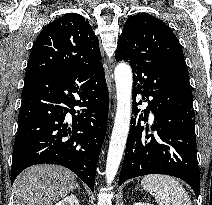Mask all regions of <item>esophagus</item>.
Returning <instances> with one entry per match:
<instances>
[{
  "label": "esophagus",
  "mask_w": 212,
  "mask_h": 205,
  "mask_svg": "<svg viewBox=\"0 0 212 205\" xmlns=\"http://www.w3.org/2000/svg\"><path fill=\"white\" fill-rule=\"evenodd\" d=\"M110 116H113L112 112H110Z\"/></svg>",
  "instance_id": "obj_1"
}]
</instances>
